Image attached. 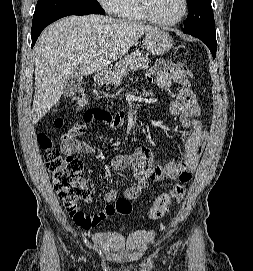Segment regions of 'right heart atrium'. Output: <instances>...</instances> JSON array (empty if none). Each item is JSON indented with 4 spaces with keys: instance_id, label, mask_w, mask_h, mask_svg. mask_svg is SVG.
Instances as JSON below:
<instances>
[{
    "instance_id": "right-heart-atrium-1",
    "label": "right heart atrium",
    "mask_w": 253,
    "mask_h": 271,
    "mask_svg": "<svg viewBox=\"0 0 253 271\" xmlns=\"http://www.w3.org/2000/svg\"><path fill=\"white\" fill-rule=\"evenodd\" d=\"M103 8L111 14L117 13L122 0H98Z\"/></svg>"
}]
</instances>
